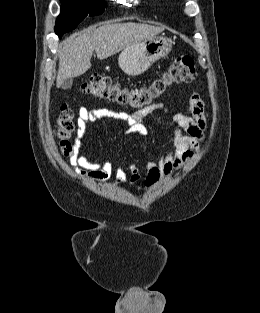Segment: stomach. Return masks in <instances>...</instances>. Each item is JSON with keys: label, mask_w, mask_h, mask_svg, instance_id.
<instances>
[{"label": "stomach", "mask_w": 260, "mask_h": 313, "mask_svg": "<svg viewBox=\"0 0 260 313\" xmlns=\"http://www.w3.org/2000/svg\"><path fill=\"white\" fill-rule=\"evenodd\" d=\"M172 50V41L155 36L126 47L119 55L118 63L129 76L144 73L155 61L166 57Z\"/></svg>", "instance_id": "obj_1"}]
</instances>
